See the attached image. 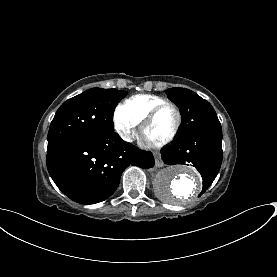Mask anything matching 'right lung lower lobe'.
Listing matches in <instances>:
<instances>
[{"label":"right lung lower lobe","instance_id":"obj_1","mask_svg":"<svg viewBox=\"0 0 277 277\" xmlns=\"http://www.w3.org/2000/svg\"><path fill=\"white\" fill-rule=\"evenodd\" d=\"M129 165L154 166L153 155L123 141L117 133L65 139L47 149V168L58 188L81 204L109 198Z\"/></svg>","mask_w":277,"mask_h":277}]
</instances>
